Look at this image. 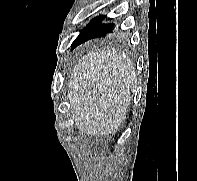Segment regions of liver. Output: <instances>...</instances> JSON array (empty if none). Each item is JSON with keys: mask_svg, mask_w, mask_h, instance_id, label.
Returning <instances> with one entry per match:
<instances>
[{"mask_svg": "<svg viewBox=\"0 0 197 181\" xmlns=\"http://www.w3.org/2000/svg\"><path fill=\"white\" fill-rule=\"evenodd\" d=\"M75 125L91 136L114 135L126 118L137 87L129 57L109 47L79 59L68 83Z\"/></svg>", "mask_w": 197, "mask_h": 181, "instance_id": "1", "label": "liver"}]
</instances>
